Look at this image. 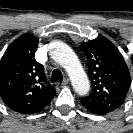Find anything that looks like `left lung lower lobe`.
I'll use <instances>...</instances> for the list:
<instances>
[{"label":"left lung lower lobe","mask_w":133,"mask_h":133,"mask_svg":"<svg viewBox=\"0 0 133 133\" xmlns=\"http://www.w3.org/2000/svg\"><path fill=\"white\" fill-rule=\"evenodd\" d=\"M86 108V107H85ZM87 109V108H86ZM88 110V109H87ZM90 112H93V113H95V114H98V115H103V114H101V113H99V112H96V111H92V110H89Z\"/></svg>","instance_id":"0a47b994"}]
</instances>
